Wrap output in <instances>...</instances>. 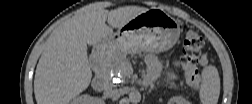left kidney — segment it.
I'll return each mask as SVG.
<instances>
[{"instance_id":"1","label":"left kidney","mask_w":252,"mask_h":104,"mask_svg":"<svg viewBox=\"0 0 252 104\" xmlns=\"http://www.w3.org/2000/svg\"><path fill=\"white\" fill-rule=\"evenodd\" d=\"M171 101H172L173 103H176V104H186V103H187V101H186L185 99H183L182 97H180V96L173 97V98L171 99Z\"/></svg>"}]
</instances>
